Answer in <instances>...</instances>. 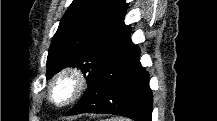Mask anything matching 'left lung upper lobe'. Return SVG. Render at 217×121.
Masks as SVG:
<instances>
[{"label":"left lung upper lobe","instance_id":"1","mask_svg":"<svg viewBox=\"0 0 217 121\" xmlns=\"http://www.w3.org/2000/svg\"><path fill=\"white\" fill-rule=\"evenodd\" d=\"M125 0H73L60 21L47 58V78L79 67L88 85L131 31L124 24Z\"/></svg>","mask_w":217,"mask_h":121}]
</instances>
